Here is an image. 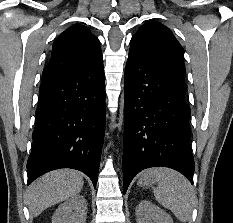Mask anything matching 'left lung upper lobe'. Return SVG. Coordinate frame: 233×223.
I'll return each instance as SVG.
<instances>
[{
    "label": "left lung upper lobe",
    "instance_id": "5c2ea615",
    "mask_svg": "<svg viewBox=\"0 0 233 223\" xmlns=\"http://www.w3.org/2000/svg\"><path fill=\"white\" fill-rule=\"evenodd\" d=\"M130 46L138 48L158 65L185 77L184 50L165 25L158 22L143 24L132 37Z\"/></svg>",
    "mask_w": 233,
    "mask_h": 223
}]
</instances>
